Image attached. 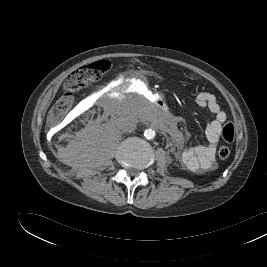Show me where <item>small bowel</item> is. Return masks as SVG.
Here are the masks:
<instances>
[{
    "label": "small bowel",
    "mask_w": 267,
    "mask_h": 267,
    "mask_svg": "<svg viewBox=\"0 0 267 267\" xmlns=\"http://www.w3.org/2000/svg\"><path fill=\"white\" fill-rule=\"evenodd\" d=\"M195 103L214 116V119L206 127L207 144L183 149L179 158L190 171L204 172L215 167V153L227 115L212 93L199 92L195 97Z\"/></svg>",
    "instance_id": "1"
}]
</instances>
